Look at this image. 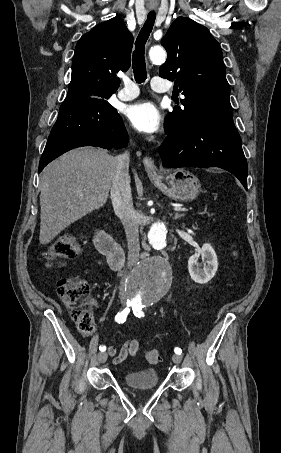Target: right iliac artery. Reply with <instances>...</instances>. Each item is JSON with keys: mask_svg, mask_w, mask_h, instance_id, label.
I'll use <instances>...</instances> for the list:
<instances>
[{"mask_svg": "<svg viewBox=\"0 0 281 453\" xmlns=\"http://www.w3.org/2000/svg\"><path fill=\"white\" fill-rule=\"evenodd\" d=\"M129 307H130V305H127L125 310H123L122 312H118V314L115 316L116 322H118L120 324V323H124L126 321V317H127L128 313L130 312ZM99 349L101 352H104L106 350V347L100 346Z\"/></svg>", "mask_w": 281, "mask_h": 453, "instance_id": "1", "label": "right iliac artery"}]
</instances>
